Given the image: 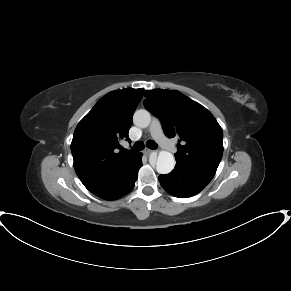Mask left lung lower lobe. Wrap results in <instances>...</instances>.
I'll return each mask as SVG.
<instances>
[{
  "instance_id": "left-lung-lower-lobe-1",
  "label": "left lung lower lobe",
  "mask_w": 291,
  "mask_h": 291,
  "mask_svg": "<svg viewBox=\"0 0 291 291\" xmlns=\"http://www.w3.org/2000/svg\"><path fill=\"white\" fill-rule=\"evenodd\" d=\"M215 173L194 169L176 164L174 170L167 175H160L161 186L170 194L187 198L203 190L212 180Z\"/></svg>"
}]
</instances>
